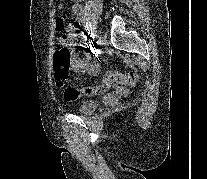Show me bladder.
Returning a JSON list of instances; mask_svg holds the SVG:
<instances>
[{
    "mask_svg": "<svg viewBox=\"0 0 207 179\" xmlns=\"http://www.w3.org/2000/svg\"><path fill=\"white\" fill-rule=\"evenodd\" d=\"M98 105V101L94 99L82 100L78 106V112L82 115H91Z\"/></svg>",
    "mask_w": 207,
    "mask_h": 179,
    "instance_id": "1",
    "label": "bladder"
}]
</instances>
